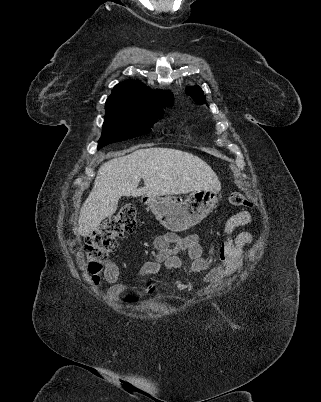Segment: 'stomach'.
<instances>
[{
    "mask_svg": "<svg viewBox=\"0 0 321 402\" xmlns=\"http://www.w3.org/2000/svg\"><path fill=\"white\" fill-rule=\"evenodd\" d=\"M219 191L214 188L193 191L185 200L179 197L147 196L146 203L161 225L181 232L201 222L216 206Z\"/></svg>",
    "mask_w": 321,
    "mask_h": 402,
    "instance_id": "1",
    "label": "stomach"
}]
</instances>
